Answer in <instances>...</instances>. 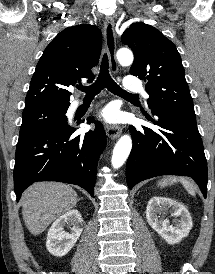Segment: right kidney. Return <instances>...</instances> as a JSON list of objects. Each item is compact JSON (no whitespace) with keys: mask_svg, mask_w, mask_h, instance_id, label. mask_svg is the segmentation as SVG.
<instances>
[{"mask_svg":"<svg viewBox=\"0 0 215 274\" xmlns=\"http://www.w3.org/2000/svg\"><path fill=\"white\" fill-rule=\"evenodd\" d=\"M70 232L64 231L65 226ZM83 231V219L78 210L73 209L60 216L50 227L46 248L54 256L66 255L75 245Z\"/></svg>","mask_w":215,"mask_h":274,"instance_id":"obj_1","label":"right kidney"}]
</instances>
